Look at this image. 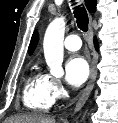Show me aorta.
<instances>
[{
  "label": "aorta",
  "mask_w": 118,
  "mask_h": 123,
  "mask_svg": "<svg viewBox=\"0 0 118 123\" xmlns=\"http://www.w3.org/2000/svg\"><path fill=\"white\" fill-rule=\"evenodd\" d=\"M65 20L64 18L54 19L48 26L44 41V56L50 72L55 77L64 75L62 68L64 48V33H65Z\"/></svg>",
  "instance_id": "1"
}]
</instances>
